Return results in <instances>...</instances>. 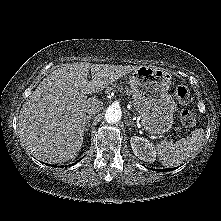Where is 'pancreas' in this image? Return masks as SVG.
I'll use <instances>...</instances> for the list:
<instances>
[{
	"mask_svg": "<svg viewBox=\"0 0 221 221\" xmlns=\"http://www.w3.org/2000/svg\"><path fill=\"white\" fill-rule=\"evenodd\" d=\"M110 89H117V91H119L121 93H126L127 95H129L131 93L129 87L128 86H124L122 83L114 84L112 86V88H110Z\"/></svg>",
	"mask_w": 221,
	"mask_h": 221,
	"instance_id": "obj_1",
	"label": "pancreas"
}]
</instances>
